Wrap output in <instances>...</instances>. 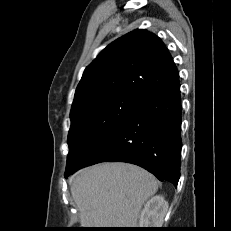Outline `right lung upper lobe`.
Here are the masks:
<instances>
[{
    "label": "right lung upper lobe",
    "mask_w": 231,
    "mask_h": 231,
    "mask_svg": "<svg viewBox=\"0 0 231 231\" xmlns=\"http://www.w3.org/2000/svg\"><path fill=\"white\" fill-rule=\"evenodd\" d=\"M179 85V72L161 39L134 30L104 48L86 67L71 112L102 98L131 94L143 98Z\"/></svg>",
    "instance_id": "cb5924a9"
}]
</instances>
